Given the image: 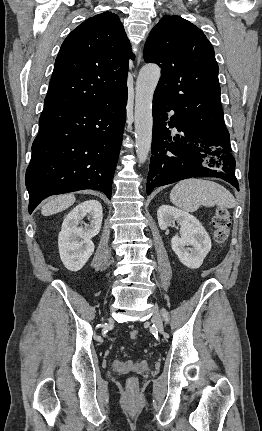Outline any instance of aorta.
Masks as SVG:
<instances>
[{"label": "aorta", "instance_id": "1", "mask_svg": "<svg viewBox=\"0 0 262 431\" xmlns=\"http://www.w3.org/2000/svg\"><path fill=\"white\" fill-rule=\"evenodd\" d=\"M161 69L156 64H147L139 72L135 94V143L136 154L143 164L149 154L152 142V101L160 79Z\"/></svg>", "mask_w": 262, "mask_h": 431}]
</instances>
